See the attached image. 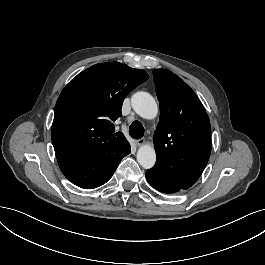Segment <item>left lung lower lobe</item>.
<instances>
[{
    "instance_id": "1",
    "label": "left lung lower lobe",
    "mask_w": 265,
    "mask_h": 265,
    "mask_svg": "<svg viewBox=\"0 0 265 265\" xmlns=\"http://www.w3.org/2000/svg\"><path fill=\"white\" fill-rule=\"evenodd\" d=\"M146 179L154 189L160 192H163V193L171 194V193H177L183 190L178 185L156 174L150 169L146 171Z\"/></svg>"
}]
</instances>
